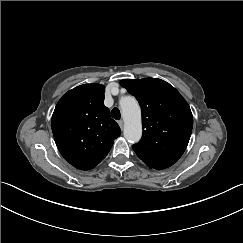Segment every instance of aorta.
<instances>
[{
    "label": "aorta",
    "instance_id": "762f6f07",
    "mask_svg": "<svg viewBox=\"0 0 243 243\" xmlns=\"http://www.w3.org/2000/svg\"><path fill=\"white\" fill-rule=\"evenodd\" d=\"M121 115L124 122V137L131 143L137 142L142 135V117L138 101L133 96L120 100Z\"/></svg>",
    "mask_w": 243,
    "mask_h": 243
}]
</instances>
